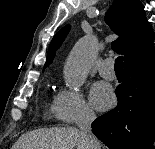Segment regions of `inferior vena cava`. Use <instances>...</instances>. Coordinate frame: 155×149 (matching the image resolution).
<instances>
[{"label": "inferior vena cava", "mask_w": 155, "mask_h": 149, "mask_svg": "<svg viewBox=\"0 0 155 149\" xmlns=\"http://www.w3.org/2000/svg\"><path fill=\"white\" fill-rule=\"evenodd\" d=\"M96 116L90 111H85L82 115L79 123V129L84 136L87 149H100L98 139L93 135L91 131V124L95 120Z\"/></svg>", "instance_id": "obj_1"}]
</instances>
